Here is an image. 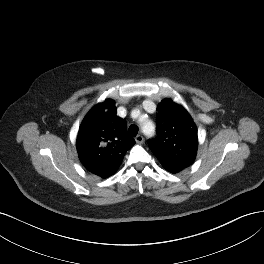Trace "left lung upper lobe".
Wrapping results in <instances>:
<instances>
[{
    "label": "left lung upper lobe",
    "mask_w": 264,
    "mask_h": 264,
    "mask_svg": "<svg viewBox=\"0 0 264 264\" xmlns=\"http://www.w3.org/2000/svg\"><path fill=\"white\" fill-rule=\"evenodd\" d=\"M157 133L149 148L168 172L177 173L194 162L197 128L185 108L170 99L158 104Z\"/></svg>",
    "instance_id": "obj_1"
}]
</instances>
